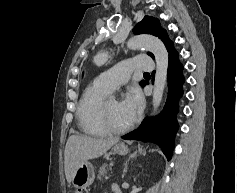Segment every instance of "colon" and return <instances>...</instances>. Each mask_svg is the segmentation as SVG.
Segmentation results:
<instances>
[{
    "mask_svg": "<svg viewBox=\"0 0 237 193\" xmlns=\"http://www.w3.org/2000/svg\"><path fill=\"white\" fill-rule=\"evenodd\" d=\"M72 193H87V191L84 188H77Z\"/></svg>",
    "mask_w": 237,
    "mask_h": 193,
    "instance_id": "obj_1",
    "label": "colon"
}]
</instances>
